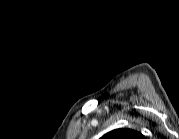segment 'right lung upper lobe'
<instances>
[{
	"mask_svg": "<svg viewBox=\"0 0 179 139\" xmlns=\"http://www.w3.org/2000/svg\"><path fill=\"white\" fill-rule=\"evenodd\" d=\"M143 135L131 129H116L105 134L102 139H142Z\"/></svg>",
	"mask_w": 179,
	"mask_h": 139,
	"instance_id": "1",
	"label": "right lung upper lobe"
}]
</instances>
